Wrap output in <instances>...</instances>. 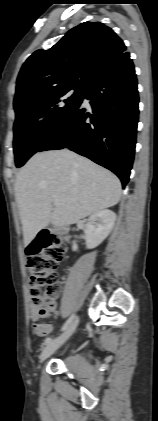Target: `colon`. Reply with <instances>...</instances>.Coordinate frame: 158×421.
<instances>
[{
    "mask_svg": "<svg viewBox=\"0 0 158 421\" xmlns=\"http://www.w3.org/2000/svg\"><path fill=\"white\" fill-rule=\"evenodd\" d=\"M63 256V247L59 240L51 235H41L27 248L26 266L30 297L40 315L55 309L53 299L59 292L56 270Z\"/></svg>",
    "mask_w": 158,
    "mask_h": 421,
    "instance_id": "5ec220e1",
    "label": "colon"
}]
</instances>
